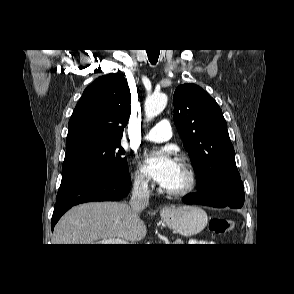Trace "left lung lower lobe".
I'll return each mask as SVG.
<instances>
[{"label":"left lung lower lobe","mask_w":294,"mask_h":294,"mask_svg":"<svg viewBox=\"0 0 294 294\" xmlns=\"http://www.w3.org/2000/svg\"><path fill=\"white\" fill-rule=\"evenodd\" d=\"M244 188L242 181L222 182L212 191L200 195L198 193L183 198L186 204H202L217 208H241L244 204Z\"/></svg>","instance_id":"1"}]
</instances>
